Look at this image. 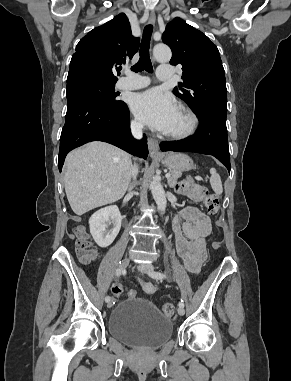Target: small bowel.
<instances>
[{
	"instance_id": "1",
	"label": "small bowel",
	"mask_w": 291,
	"mask_h": 381,
	"mask_svg": "<svg viewBox=\"0 0 291 381\" xmlns=\"http://www.w3.org/2000/svg\"><path fill=\"white\" fill-rule=\"evenodd\" d=\"M180 217L184 220L181 225L179 218L173 222L175 247L179 256L182 257L188 272H199L206 258V238L211 232V223L207 215L195 207H186ZM143 290L152 294L156 286L150 282L138 279Z\"/></svg>"
}]
</instances>
